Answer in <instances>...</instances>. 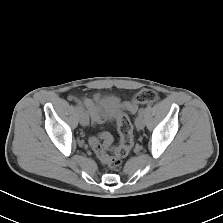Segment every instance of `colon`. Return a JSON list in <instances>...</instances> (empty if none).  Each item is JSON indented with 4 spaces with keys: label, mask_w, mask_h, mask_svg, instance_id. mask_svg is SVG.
Returning <instances> with one entry per match:
<instances>
[{
    "label": "colon",
    "mask_w": 223,
    "mask_h": 223,
    "mask_svg": "<svg viewBox=\"0 0 223 223\" xmlns=\"http://www.w3.org/2000/svg\"><path fill=\"white\" fill-rule=\"evenodd\" d=\"M158 95L150 89L138 91L132 97L130 102H126L117 112L116 121L120 137L119 146L112 147V137L109 133H100L98 136L92 137L90 144L96 156L100 161L105 163L109 168L116 169L120 166L122 159L125 158L133 146V127L131 121L125 111L134 113L139 105L153 104L157 102ZM108 151H111L110 154Z\"/></svg>",
    "instance_id": "colon-1"
}]
</instances>
